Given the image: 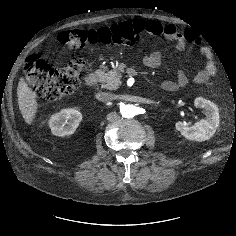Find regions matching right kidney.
<instances>
[{
  "label": "right kidney",
  "mask_w": 236,
  "mask_h": 236,
  "mask_svg": "<svg viewBox=\"0 0 236 236\" xmlns=\"http://www.w3.org/2000/svg\"><path fill=\"white\" fill-rule=\"evenodd\" d=\"M82 120V114L76 109H63L51 116L49 126L56 136L71 135Z\"/></svg>",
  "instance_id": "obj_1"
}]
</instances>
